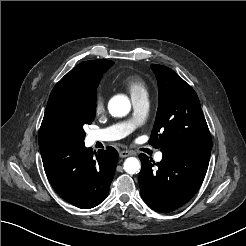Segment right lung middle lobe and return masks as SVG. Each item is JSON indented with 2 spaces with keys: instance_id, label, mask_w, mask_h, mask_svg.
Segmentation results:
<instances>
[{
  "instance_id": "dd1d6c3e",
  "label": "right lung middle lobe",
  "mask_w": 246,
  "mask_h": 246,
  "mask_svg": "<svg viewBox=\"0 0 246 246\" xmlns=\"http://www.w3.org/2000/svg\"><path fill=\"white\" fill-rule=\"evenodd\" d=\"M114 64L111 61L105 66H99L90 76L85 88L65 98L58 110L54 126L55 137H73L84 140L83 126L91 124L96 112L97 86L103 73Z\"/></svg>"
}]
</instances>
